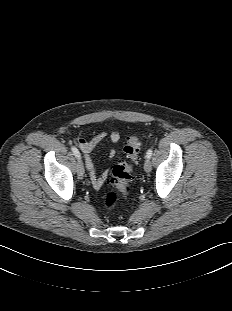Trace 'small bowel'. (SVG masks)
Listing matches in <instances>:
<instances>
[{"mask_svg": "<svg viewBox=\"0 0 232 311\" xmlns=\"http://www.w3.org/2000/svg\"><path fill=\"white\" fill-rule=\"evenodd\" d=\"M107 136V132L103 131L95 136H93L90 140H85L81 137H78L76 139V143L78 147L82 150L85 156V163L86 167L89 171L90 178L92 181V184L94 185L95 188H100L103 186L106 178H107V173H103L101 177H98L96 175V170L94 167V164L92 162L90 153L97 147V145ZM120 139V133L118 131H113L109 135V141L111 143H116ZM116 155V152L114 150H111L109 153V158H113Z\"/></svg>", "mask_w": 232, "mask_h": 311, "instance_id": "1", "label": "small bowel"}]
</instances>
